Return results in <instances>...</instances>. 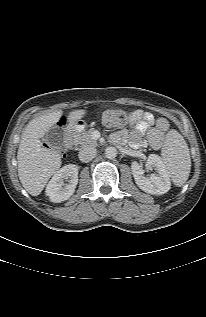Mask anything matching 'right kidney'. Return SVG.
Wrapping results in <instances>:
<instances>
[{
	"label": "right kidney",
	"instance_id": "obj_1",
	"mask_svg": "<svg viewBox=\"0 0 206 317\" xmlns=\"http://www.w3.org/2000/svg\"><path fill=\"white\" fill-rule=\"evenodd\" d=\"M64 180L67 183H64ZM78 184V167L74 164H69L59 169L46 187V195L50 201L60 203L69 199L75 192Z\"/></svg>",
	"mask_w": 206,
	"mask_h": 317
}]
</instances>
